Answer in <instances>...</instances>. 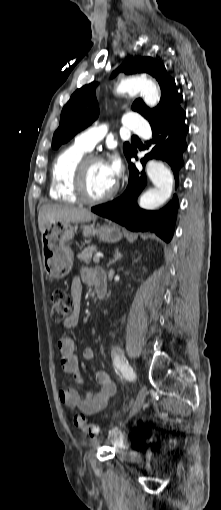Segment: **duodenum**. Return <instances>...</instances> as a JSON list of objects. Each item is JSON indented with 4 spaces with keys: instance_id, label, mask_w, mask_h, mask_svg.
<instances>
[{
    "instance_id": "1",
    "label": "duodenum",
    "mask_w": 221,
    "mask_h": 510,
    "mask_svg": "<svg viewBox=\"0 0 221 510\" xmlns=\"http://www.w3.org/2000/svg\"><path fill=\"white\" fill-rule=\"evenodd\" d=\"M94 286L99 298H103L107 292V276L102 268H95L93 273Z\"/></svg>"
}]
</instances>
